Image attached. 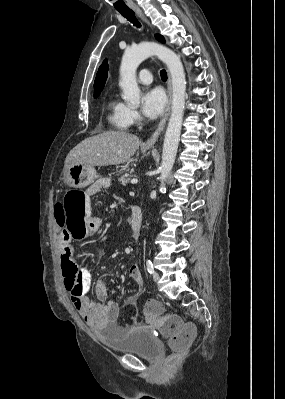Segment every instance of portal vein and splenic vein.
Listing matches in <instances>:
<instances>
[{"label": "portal vein and splenic vein", "instance_id": "obj_1", "mask_svg": "<svg viewBox=\"0 0 285 399\" xmlns=\"http://www.w3.org/2000/svg\"><path fill=\"white\" fill-rule=\"evenodd\" d=\"M138 183V180L137 179H132L131 180V184H137Z\"/></svg>", "mask_w": 285, "mask_h": 399}]
</instances>
